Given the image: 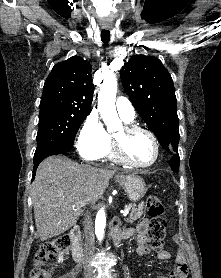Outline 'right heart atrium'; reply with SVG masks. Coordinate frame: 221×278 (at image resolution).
I'll return each instance as SVG.
<instances>
[{
    "instance_id": "obj_1",
    "label": "right heart atrium",
    "mask_w": 221,
    "mask_h": 278,
    "mask_svg": "<svg viewBox=\"0 0 221 278\" xmlns=\"http://www.w3.org/2000/svg\"><path fill=\"white\" fill-rule=\"evenodd\" d=\"M110 142V136L100 118L96 114L88 115L79 129L76 141L81 157L89 161L102 158Z\"/></svg>"
}]
</instances>
